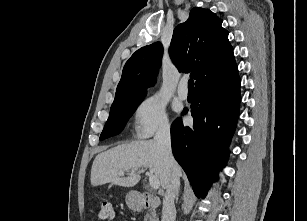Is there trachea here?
Here are the masks:
<instances>
[{
	"label": "trachea",
	"instance_id": "1",
	"mask_svg": "<svg viewBox=\"0 0 307 221\" xmlns=\"http://www.w3.org/2000/svg\"><path fill=\"white\" fill-rule=\"evenodd\" d=\"M188 89L189 90H194V80L193 79H190L188 81Z\"/></svg>",
	"mask_w": 307,
	"mask_h": 221
}]
</instances>
